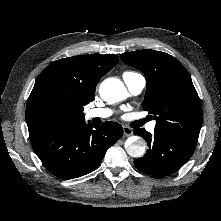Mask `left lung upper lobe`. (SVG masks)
<instances>
[{"label":"left lung upper lobe","instance_id":"left-lung-upper-lobe-1","mask_svg":"<svg viewBox=\"0 0 221 221\" xmlns=\"http://www.w3.org/2000/svg\"><path fill=\"white\" fill-rule=\"evenodd\" d=\"M120 58L146 77L143 109L155 115V130L197 143L202 106L184 66L173 56L150 49L120 54Z\"/></svg>","mask_w":221,"mask_h":221}]
</instances>
